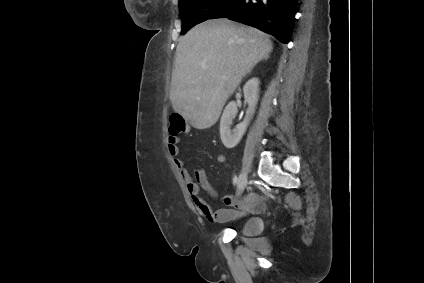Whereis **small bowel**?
I'll return each instance as SVG.
<instances>
[{"mask_svg": "<svg viewBox=\"0 0 424 283\" xmlns=\"http://www.w3.org/2000/svg\"><path fill=\"white\" fill-rule=\"evenodd\" d=\"M180 138L178 136H169L168 139V150L174 157V162L179 169L190 198L200 215L206 218L208 221L213 223H220L237 218L239 215L244 213L246 210L255 211L262 207L263 203L253 194L247 195L245 199L237 200L233 196L227 195L223 198V202L232 206L231 209H218L214 210L202 197L201 190H204L209 196L215 198L217 193L209 182L206 171L202 168L196 169L191 173L186 164L178 158ZM219 163L228 165L227 158L225 155L220 154L217 157Z\"/></svg>", "mask_w": 424, "mask_h": 283, "instance_id": "1", "label": "small bowel"}]
</instances>
